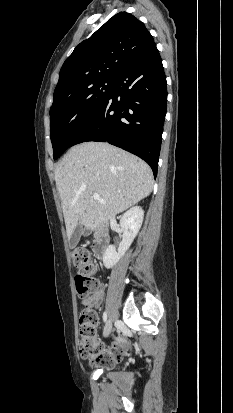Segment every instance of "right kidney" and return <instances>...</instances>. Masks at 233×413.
I'll return each mask as SVG.
<instances>
[{
  "instance_id": "right-kidney-1",
  "label": "right kidney",
  "mask_w": 233,
  "mask_h": 413,
  "mask_svg": "<svg viewBox=\"0 0 233 413\" xmlns=\"http://www.w3.org/2000/svg\"><path fill=\"white\" fill-rule=\"evenodd\" d=\"M144 218V211L140 206H134L126 211L120 218L122 241L118 247L109 245L103 255V264L106 268H112L125 255L138 234Z\"/></svg>"
}]
</instances>
